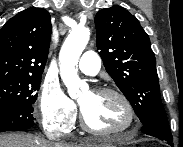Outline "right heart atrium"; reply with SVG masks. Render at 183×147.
I'll return each mask as SVG.
<instances>
[{
	"mask_svg": "<svg viewBox=\"0 0 183 147\" xmlns=\"http://www.w3.org/2000/svg\"><path fill=\"white\" fill-rule=\"evenodd\" d=\"M38 105L46 129L67 133L74 125L76 106L56 81L46 80L42 84Z\"/></svg>",
	"mask_w": 183,
	"mask_h": 147,
	"instance_id": "right-heart-atrium-1",
	"label": "right heart atrium"
}]
</instances>
